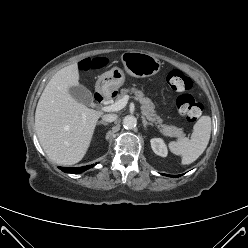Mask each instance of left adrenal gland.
I'll list each match as a JSON object with an SVG mask.
<instances>
[{"mask_svg": "<svg viewBox=\"0 0 248 248\" xmlns=\"http://www.w3.org/2000/svg\"><path fill=\"white\" fill-rule=\"evenodd\" d=\"M142 122H143V125H144L145 129H146L147 125H152L151 123H149V122L145 119L144 116H142Z\"/></svg>", "mask_w": 248, "mask_h": 248, "instance_id": "a2214340", "label": "left adrenal gland"}]
</instances>
